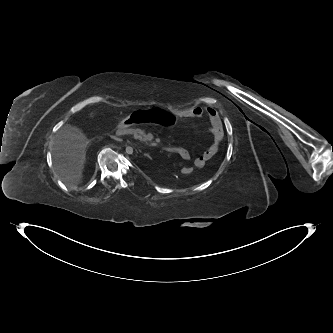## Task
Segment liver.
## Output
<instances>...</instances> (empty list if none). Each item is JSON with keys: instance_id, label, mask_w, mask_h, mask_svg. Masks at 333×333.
I'll use <instances>...</instances> for the list:
<instances>
[{"instance_id": "1", "label": "liver", "mask_w": 333, "mask_h": 333, "mask_svg": "<svg viewBox=\"0 0 333 333\" xmlns=\"http://www.w3.org/2000/svg\"><path fill=\"white\" fill-rule=\"evenodd\" d=\"M91 112L89 117H93ZM88 138L77 127L64 125L56 134L53 144V168L70 188L82 182Z\"/></svg>"}]
</instances>
